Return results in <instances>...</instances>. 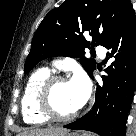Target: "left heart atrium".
Returning <instances> with one entry per match:
<instances>
[{
  "label": "left heart atrium",
  "mask_w": 136,
  "mask_h": 136,
  "mask_svg": "<svg viewBox=\"0 0 136 136\" xmlns=\"http://www.w3.org/2000/svg\"><path fill=\"white\" fill-rule=\"evenodd\" d=\"M69 82L73 90L76 104L79 108L85 103L89 96V81L83 73L77 72Z\"/></svg>",
  "instance_id": "obj_1"
}]
</instances>
